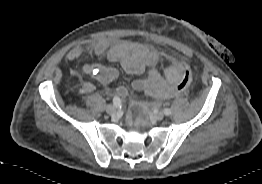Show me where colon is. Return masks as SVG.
I'll return each instance as SVG.
<instances>
[{
    "mask_svg": "<svg viewBox=\"0 0 262 184\" xmlns=\"http://www.w3.org/2000/svg\"><path fill=\"white\" fill-rule=\"evenodd\" d=\"M169 58L176 62L182 70L181 80L174 87H172L165 95V98H174L182 95L191 84L192 71L190 66L178 56L170 54ZM117 93L120 96L125 97L127 95V90L124 86H120L117 88Z\"/></svg>",
    "mask_w": 262,
    "mask_h": 184,
    "instance_id": "5ec220e1",
    "label": "colon"
}]
</instances>
